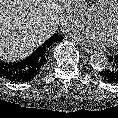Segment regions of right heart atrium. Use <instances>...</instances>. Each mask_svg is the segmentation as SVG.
I'll return each instance as SVG.
<instances>
[{
	"mask_svg": "<svg viewBox=\"0 0 118 118\" xmlns=\"http://www.w3.org/2000/svg\"><path fill=\"white\" fill-rule=\"evenodd\" d=\"M85 0H65L64 8L61 14V21L67 28H73L86 19Z\"/></svg>",
	"mask_w": 118,
	"mask_h": 118,
	"instance_id": "d8ad5b80",
	"label": "right heart atrium"
}]
</instances>
